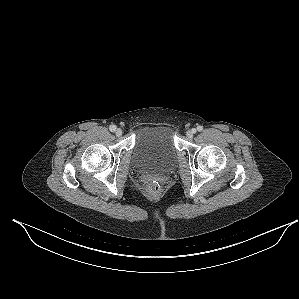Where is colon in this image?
<instances>
[{"mask_svg": "<svg viewBox=\"0 0 299 299\" xmlns=\"http://www.w3.org/2000/svg\"><path fill=\"white\" fill-rule=\"evenodd\" d=\"M147 189L150 196L157 197L160 194L161 185L158 181L151 180L148 182Z\"/></svg>", "mask_w": 299, "mask_h": 299, "instance_id": "obj_1", "label": "colon"}]
</instances>
